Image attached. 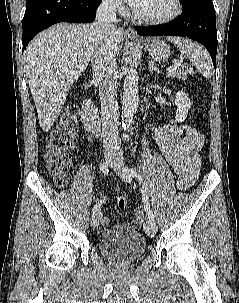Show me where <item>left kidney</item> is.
Masks as SVG:
<instances>
[{
    "label": "left kidney",
    "mask_w": 239,
    "mask_h": 303,
    "mask_svg": "<svg viewBox=\"0 0 239 303\" xmlns=\"http://www.w3.org/2000/svg\"><path fill=\"white\" fill-rule=\"evenodd\" d=\"M175 105L177 106L176 117L175 120H171V123H182L187 117L192 102L185 92L179 91L176 93Z\"/></svg>",
    "instance_id": "1"
}]
</instances>
